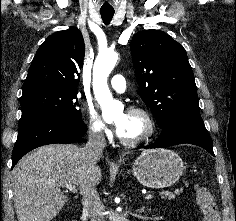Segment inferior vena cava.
<instances>
[{
    "label": "inferior vena cava",
    "mask_w": 236,
    "mask_h": 221,
    "mask_svg": "<svg viewBox=\"0 0 236 221\" xmlns=\"http://www.w3.org/2000/svg\"><path fill=\"white\" fill-rule=\"evenodd\" d=\"M105 146L106 139L104 134L101 131L90 129L88 142L82 149L85 162L90 166L96 165L102 157ZM95 186V184H89L81 193L83 212L88 215L90 221H105L102 214L103 206Z\"/></svg>",
    "instance_id": "1"
}]
</instances>
